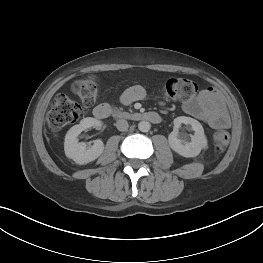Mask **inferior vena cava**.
Segmentation results:
<instances>
[{"instance_id":"obj_1","label":"inferior vena cava","mask_w":263,"mask_h":263,"mask_svg":"<svg viewBox=\"0 0 263 263\" xmlns=\"http://www.w3.org/2000/svg\"><path fill=\"white\" fill-rule=\"evenodd\" d=\"M116 127L119 131H126L129 127L128 122L125 119H119L116 122Z\"/></svg>"}]
</instances>
